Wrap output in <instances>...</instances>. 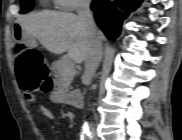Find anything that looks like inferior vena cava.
Segmentation results:
<instances>
[{"label": "inferior vena cava", "instance_id": "obj_1", "mask_svg": "<svg viewBox=\"0 0 182 140\" xmlns=\"http://www.w3.org/2000/svg\"><path fill=\"white\" fill-rule=\"evenodd\" d=\"M78 17L89 34L90 49L85 59L83 78L91 82L102 59V44L97 36L96 26L90 10V1L83 0L77 9Z\"/></svg>", "mask_w": 182, "mask_h": 140}]
</instances>
